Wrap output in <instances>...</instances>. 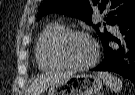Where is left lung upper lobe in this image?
Here are the masks:
<instances>
[{
	"instance_id": "obj_1",
	"label": "left lung upper lobe",
	"mask_w": 135,
	"mask_h": 95,
	"mask_svg": "<svg viewBox=\"0 0 135 95\" xmlns=\"http://www.w3.org/2000/svg\"><path fill=\"white\" fill-rule=\"evenodd\" d=\"M51 11L78 17L90 25L92 16L100 13L105 15L103 25H118L135 13V0H44L38 19ZM99 26L100 23L94 27L103 41L110 33L100 32Z\"/></svg>"
}]
</instances>
